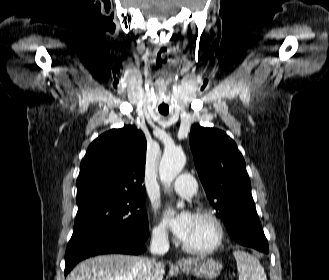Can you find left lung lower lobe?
Returning <instances> with one entry per match:
<instances>
[{
	"label": "left lung lower lobe",
	"mask_w": 329,
	"mask_h": 280,
	"mask_svg": "<svg viewBox=\"0 0 329 280\" xmlns=\"http://www.w3.org/2000/svg\"><path fill=\"white\" fill-rule=\"evenodd\" d=\"M228 232L232 239L242 245L255 248L264 253L269 252L268 242L254 204H251L249 213L244 221L228 228Z\"/></svg>",
	"instance_id": "0a47b994"
}]
</instances>
